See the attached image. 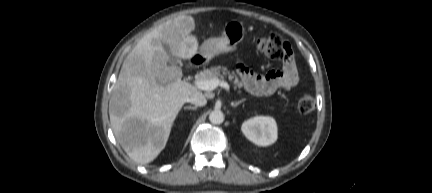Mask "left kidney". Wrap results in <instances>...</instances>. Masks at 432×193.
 <instances>
[{
  "instance_id": "5707ae66",
  "label": "left kidney",
  "mask_w": 432,
  "mask_h": 193,
  "mask_svg": "<svg viewBox=\"0 0 432 193\" xmlns=\"http://www.w3.org/2000/svg\"><path fill=\"white\" fill-rule=\"evenodd\" d=\"M241 130L248 140L258 146L271 145L278 137L276 121L270 116L250 118L243 122Z\"/></svg>"
}]
</instances>
